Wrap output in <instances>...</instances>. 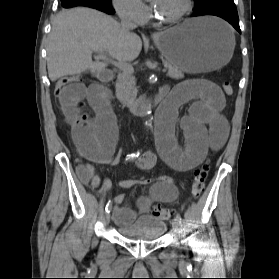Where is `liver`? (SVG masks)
<instances>
[{
    "label": "liver",
    "mask_w": 279,
    "mask_h": 279,
    "mask_svg": "<svg viewBox=\"0 0 279 279\" xmlns=\"http://www.w3.org/2000/svg\"><path fill=\"white\" fill-rule=\"evenodd\" d=\"M99 50L113 59L130 62L139 56L142 41L134 33H123L115 19L95 9L62 10L54 19L49 35L47 68L50 80L105 70L107 63L92 61V53Z\"/></svg>",
    "instance_id": "6515ba94"
}]
</instances>
